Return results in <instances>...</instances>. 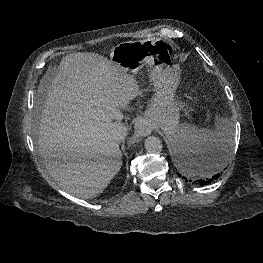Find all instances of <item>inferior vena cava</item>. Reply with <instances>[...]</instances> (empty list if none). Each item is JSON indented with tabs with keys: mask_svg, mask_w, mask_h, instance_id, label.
Listing matches in <instances>:
<instances>
[{
	"mask_svg": "<svg viewBox=\"0 0 263 263\" xmlns=\"http://www.w3.org/2000/svg\"><path fill=\"white\" fill-rule=\"evenodd\" d=\"M127 135V127L121 122L112 123L111 138L116 142H122Z\"/></svg>",
	"mask_w": 263,
	"mask_h": 263,
	"instance_id": "inferior-vena-cava-1",
	"label": "inferior vena cava"
}]
</instances>
